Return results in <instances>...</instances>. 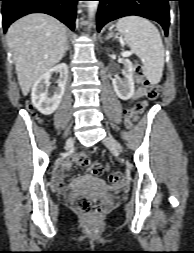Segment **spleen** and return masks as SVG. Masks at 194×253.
Here are the masks:
<instances>
[{
    "label": "spleen",
    "instance_id": "1",
    "mask_svg": "<svg viewBox=\"0 0 194 253\" xmlns=\"http://www.w3.org/2000/svg\"><path fill=\"white\" fill-rule=\"evenodd\" d=\"M116 28L143 62L145 77L152 84L159 83L164 67V46L155 25L139 16H126L118 20Z\"/></svg>",
    "mask_w": 194,
    "mask_h": 253
}]
</instances>
